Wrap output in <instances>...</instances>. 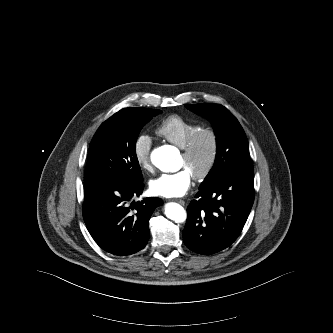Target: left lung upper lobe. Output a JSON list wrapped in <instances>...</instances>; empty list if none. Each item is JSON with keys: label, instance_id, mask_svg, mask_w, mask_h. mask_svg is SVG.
I'll return each mask as SVG.
<instances>
[{"label": "left lung upper lobe", "instance_id": "obj_1", "mask_svg": "<svg viewBox=\"0 0 333 333\" xmlns=\"http://www.w3.org/2000/svg\"><path fill=\"white\" fill-rule=\"evenodd\" d=\"M186 107L209 119L216 134L215 163L200 188L213 184L231 172L253 169L245 132L228 109L211 103L186 105Z\"/></svg>", "mask_w": 333, "mask_h": 333}]
</instances>
